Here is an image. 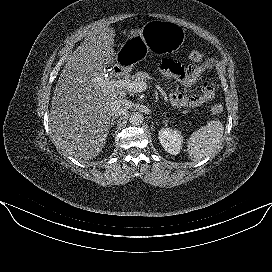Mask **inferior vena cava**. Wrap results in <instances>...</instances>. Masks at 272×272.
Listing matches in <instances>:
<instances>
[{
    "label": "inferior vena cava",
    "mask_w": 272,
    "mask_h": 272,
    "mask_svg": "<svg viewBox=\"0 0 272 272\" xmlns=\"http://www.w3.org/2000/svg\"><path fill=\"white\" fill-rule=\"evenodd\" d=\"M111 112L114 116L126 114L129 109V102L125 99H117L111 104Z\"/></svg>",
    "instance_id": "obj_1"
}]
</instances>
